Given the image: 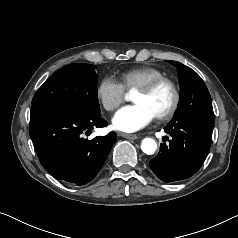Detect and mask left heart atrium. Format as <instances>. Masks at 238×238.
<instances>
[{"instance_id": "1", "label": "left heart atrium", "mask_w": 238, "mask_h": 238, "mask_svg": "<svg viewBox=\"0 0 238 238\" xmlns=\"http://www.w3.org/2000/svg\"><path fill=\"white\" fill-rule=\"evenodd\" d=\"M156 117L155 113L145 104L135 103L122 107L113 117L115 129L123 132H136Z\"/></svg>"}]
</instances>
